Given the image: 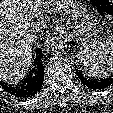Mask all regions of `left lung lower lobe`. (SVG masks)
Listing matches in <instances>:
<instances>
[{
	"label": "left lung lower lobe",
	"instance_id": "obj_1",
	"mask_svg": "<svg viewBox=\"0 0 113 113\" xmlns=\"http://www.w3.org/2000/svg\"><path fill=\"white\" fill-rule=\"evenodd\" d=\"M76 74L81 80V82L90 89L99 90L106 87H109L113 84V78H106V79H91L88 76L82 74V72L76 69Z\"/></svg>",
	"mask_w": 113,
	"mask_h": 113
}]
</instances>
